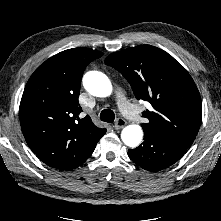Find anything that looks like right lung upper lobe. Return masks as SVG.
Wrapping results in <instances>:
<instances>
[{"instance_id": "obj_1", "label": "right lung upper lobe", "mask_w": 221, "mask_h": 221, "mask_svg": "<svg viewBox=\"0 0 221 221\" xmlns=\"http://www.w3.org/2000/svg\"><path fill=\"white\" fill-rule=\"evenodd\" d=\"M102 55L88 48L62 51L40 65L26 84L19 108L22 132L31 150L50 167L77 168L106 133L90 116L79 117L78 103L84 69Z\"/></svg>"}]
</instances>
